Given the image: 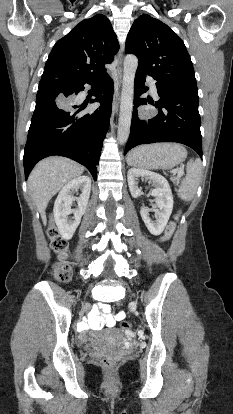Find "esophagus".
I'll use <instances>...</instances> for the list:
<instances>
[{"label": "esophagus", "mask_w": 233, "mask_h": 414, "mask_svg": "<svg viewBox=\"0 0 233 414\" xmlns=\"http://www.w3.org/2000/svg\"><path fill=\"white\" fill-rule=\"evenodd\" d=\"M123 55H124V48L121 47V49L119 50L118 54H117V83L121 84V80H122V60H123ZM119 98H120V93L118 91V89L115 90L114 92V96H113V110L114 113L117 114L118 112V107H119Z\"/></svg>", "instance_id": "34e87169"}]
</instances>
